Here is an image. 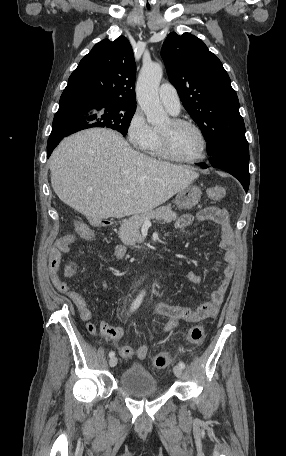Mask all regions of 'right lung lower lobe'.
<instances>
[{
	"mask_svg": "<svg viewBox=\"0 0 286 456\" xmlns=\"http://www.w3.org/2000/svg\"><path fill=\"white\" fill-rule=\"evenodd\" d=\"M81 95L67 92L62 93L60 106L54 116L52 132L47 144V157L51 155L53 149L65 137L68 136L67 130L75 118V106L80 101Z\"/></svg>",
	"mask_w": 286,
	"mask_h": 456,
	"instance_id": "98d812e1",
	"label": "right lung lower lobe"
}]
</instances>
